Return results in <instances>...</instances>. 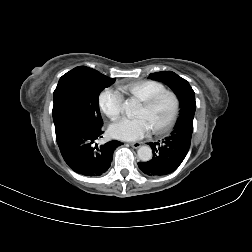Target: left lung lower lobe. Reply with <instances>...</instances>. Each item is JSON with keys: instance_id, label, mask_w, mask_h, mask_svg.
<instances>
[{"instance_id": "obj_1", "label": "left lung lower lobe", "mask_w": 252, "mask_h": 252, "mask_svg": "<svg viewBox=\"0 0 252 252\" xmlns=\"http://www.w3.org/2000/svg\"><path fill=\"white\" fill-rule=\"evenodd\" d=\"M193 133V121L183 119L176 123L170 136L162 141L148 143L153 157L139 162V169L148 176H163L175 171L186 157Z\"/></svg>"}]
</instances>
